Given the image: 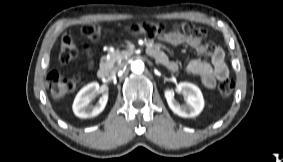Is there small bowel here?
I'll use <instances>...</instances> for the list:
<instances>
[{
    "label": "small bowel",
    "instance_id": "small-bowel-1",
    "mask_svg": "<svg viewBox=\"0 0 283 162\" xmlns=\"http://www.w3.org/2000/svg\"><path fill=\"white\" fill-rule=\"evenodd\" d=\"M204 35L205 31L203 29L190 24H183L179 28L163 33L159 38L174 46L187 45L193 48L199 55L208 54L211 62L192 60L187 65V71L197 75L205 88L213 89L218 81L227 79L229 69L222 48L215 46L213 43L207 44L204 41ZM156 48L161 52V56L156 59L169 70L176 71L178 68L177 63L170 60L158 47Z\"/></svg>",
    "mask_w": 283,
    "mask_h": 162
}]
</instances>
